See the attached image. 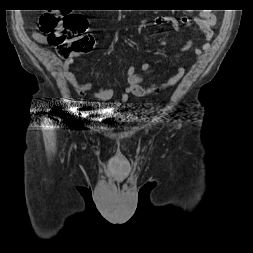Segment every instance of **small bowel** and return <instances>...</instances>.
Listing matches in <instances>:
<instances>
[{"label": "small bowel", "mask_w": 253, "mask_h": 253, "mask_svg": "<svg viewBox=\"0 0 253 253\" xmlns=\"http://www.w3.org/2000/svg\"><path fill=\"white\" fill-rule=\"evenodd\" d=\"M194 21L199 26L201 31L204 34L205 42L202 45V49L196 48L194 49V54L196 56H201L202 50L206 51L210 49V41L214 37L213 26L215 24V17L210 11H203L200 15L194 17ZM180 23L190 27L191 20L185 16H182L180 20H177L173 17H162L156 18L153 20V24L156 26L162 25H170L175 31H179ZM35 38L40 43L46 42V37L40 33L35 34ZM162 45L165 44L163 41ZM192 47V41H188L184 46H182L179 50L181 52H186ZM73 61L71 59H67L64 62V75L70 85L74 88V90L80 96H90L91 98L106 101L113 97V90L104 86H95L92 82H80L75 73L71 70V65ZM150 68V65L146 62L142 63L139 66V70L141 72H146ZM185 69L183 67H178L175 69V73L173 76L168 78L165 82L161 84H153L150 86L143 85V78L141 74L137 72V68L134 65H131L126 71V82L127 85L124 88L121 96L116 102V105L119 106L125 103L130 95H134L137 97H146L152 94L156 90H163L174 86L179 82V80L184 76Z\"/></svg>", "instance_id": "small-bowel-1"}]
</instances>
